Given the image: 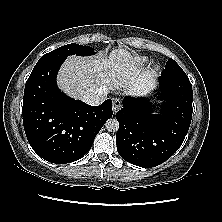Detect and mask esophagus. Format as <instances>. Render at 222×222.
Segmentation results:
<instances>
[{"label":"esophagus","mask_w":222,"mask_h":222,"mask_svg":"<svg viewBox=\"0 0 222 222\" xmlns=\"http://www.w3.org/2000/svg\"><path fill=\"white\" fill-rule=\"evenodd\" d=\"M112 109H113V112L114 114L121 109V101L120 99H114L113 100V103H112Z\"/></svg>","instance_id":"esophagus-1"}]
</instances>
